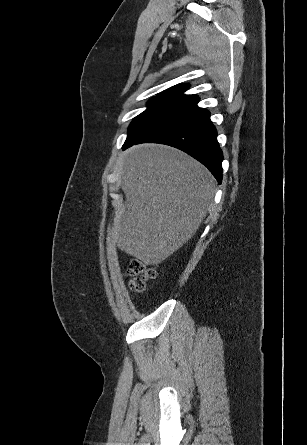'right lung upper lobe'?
I'll return each instance as SVG.
<instances>
[{
  "mask_svg": "<svg viewBox=\"0 0 307 445\" xmlns=\"http://www.w3.org/2000/svg\"><path fill=\"white\" fill-rule=\"evenodd\" d=\"M189 88L187 84H178L175 85L161 93L158 94V97L170 98V99H179L185 102L196 99V95H184L183 92Z\"/></svg>",
  "mask_w": 307,
  "mask_h": 445,
  "instance_id": "obj_1",
  "label": "right lung upper lobe"
}]
</instances>
